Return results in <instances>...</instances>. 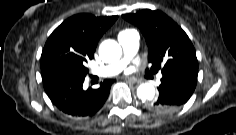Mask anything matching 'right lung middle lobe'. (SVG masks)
Returning a JSON list of instances; mask_svg holds the SVG:
<instances>
[{"label": "right lung middle lobe", "mask_w": 236, "mask_h": 135, "mask_svg": "<svg viewBox=\"0 0 236 135\" xmlns=\"http://www.w3.org/2000/svg\"><path fill=\"white\" fill-rule=\"evenodd\" d=\"M92 58L93 54L73 50L65 44H52L43 49L41 71L87 75L88 68L85 65Z\"/></svg>", "instance_id": "obj_1"}]
</instances>
